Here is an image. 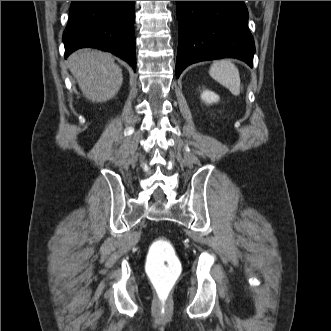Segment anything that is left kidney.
Returning a JSON list of instances; mask_svg holds the SVG:
<instances>
[{
	"instance_id": "left-kidney-1",
	"label": "left kidney",
	"mask_w": 331,
	"mask_h": 331,
	"mask_svg": "<svg viewBox=\"0 0 331 331\" xmlns=\"http://www.w3.org/2000/svg\"><path fill=\"white\" fill-rule=\"evenodd\" d=\"M201 98L207 104H212L219 101V96L209 90L203 91V93L201 94Z\"/></svg>"
}]
</instances>
